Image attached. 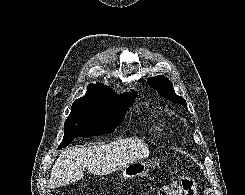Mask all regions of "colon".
<instances>
[{
  "label": "colon",
  "mask_w": 245,
  "mask_h": 195,
  "mask_svg": "<svg viewBox=\"0 0 245 195\" xmlns=\"http://www.w3.org/2000/svg\"><path fill=\"white\" fill-rule=\"evenodd\" d=\"M195 188V182L191 178L186 177L163 187L160 190L159 195H193Z\"/></svg>",
  "instance_id": "1"
}]
</instances>
